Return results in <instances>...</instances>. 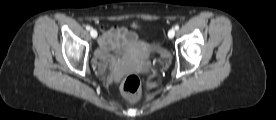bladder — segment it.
Returning <instances> with one entry per match:
<instances>
[{"mask_svg":"<svg viewBox=\"0 0 276 120\" xmlns=\"http://www.w3.org/2000/svg\"><path fill=\"white\" fill-rule=\"evenodd\" d=\"M144 47L149 56L159 51V45L156 42L147 41L144 43Z\"/></svg>","mask_w":276,"mask_h":120,"instance_id":"1","label":"bladder"}]
</instances>
